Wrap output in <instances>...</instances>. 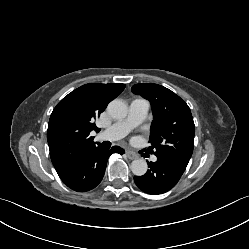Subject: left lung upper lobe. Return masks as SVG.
<instances>
[{
    "label": "left lung upper lobe",
    "instance_id": "left-lung-upper-lobe-1",
    "mask_svg": "<svg viewBox=\"0 0 249 249\" xmlns=\"http://www.w3.org/2000/svg\"><path fill=\"white\" fill-rule=\"evenodd\" d=\"M132 92L151 102L154 120L149 152L188 164L194 147L195 126L186 102L158 84H136Z\"/></svg>",
    "mask_w": 249,
    "mask_h": 249
}]
</instances>
